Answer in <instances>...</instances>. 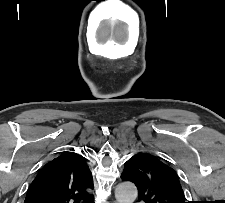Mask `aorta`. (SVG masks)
Here are the masks:
<instances>
[{"mask_svg":"<svg viewBox=\"0 0 225 203\" xmlns=\"http://www.w3.org/2000/svg\"><path fill=\"white\" fill-rule=\"evenodd\" d=\"M115 197L118 203H133L137 198V188L131 182L121 183L115 189Z\"/></svg>","mask_w":225,"mask_h":203,"instance_id":"1","label":"aorta"}]
</instances>
